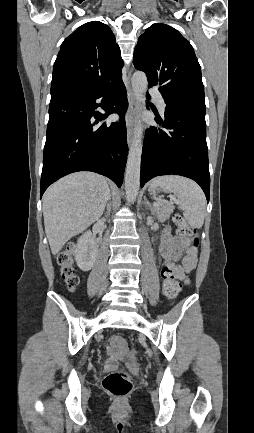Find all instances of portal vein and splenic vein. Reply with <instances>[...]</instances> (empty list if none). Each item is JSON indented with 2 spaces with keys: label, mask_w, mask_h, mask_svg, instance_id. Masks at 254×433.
Here are the masks:
<instances>
[{
  "label": "portal vein and splenic vein",
  "mask_w": 254,
  "mask_h": 433,
  "mask_svg": "<svg viewBox=\"0 0 254 433\" xmlns=\"http://www.w3.org/2000/svg\"><path fill=\"white\" fill-rule=\"evenodd\" d=\"M172 199H175V198H172ZM162 204H163V201H157V202L154 203L155 206L162 205Z\"/></svg>",
  "instance_id": "obj_1"
}]
</instances>
